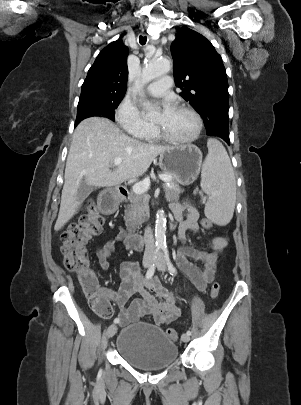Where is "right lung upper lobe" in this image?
<instances>
[{"mask_svg":"<svg viewBox=\"0 0 301 405\" xmlns=\"http://www.w3.org/2000/svg\"><path fill=\"white\" fill-rule=\"evenodd\" d=\"M128 54L127 46L120 39L105 47L89 69L80 96L89 94L124 96L128 77Z\"/></svg>","mask_w":301,"mask_h":405,"instance_id":"obj_1","label":"right lung upper lobe"}]
</instances>
